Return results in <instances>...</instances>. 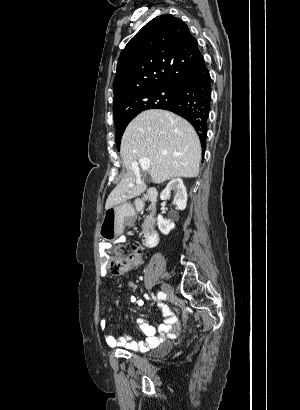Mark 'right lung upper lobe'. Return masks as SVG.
Segmentation results:
<instances>
[{
	"mask_svg": "<svg viewBox=\"0 0 300 410\" xmlns=\"http://www.w3.org/2000/svg\"><path fill=\"white\" fill-rule=\"evenodd\" d=\"M197 40L180 19L161 15L147 23L121 53L113 83L114 119L134 114L136 97L161 88H179L203 61Z\"/></svg>",
	"mask_w": 300,
	"mask_h": 410,
	"instance_id": "right-lung-upper-lobe-1",
	"label": "right lung upper lobe"
}]
</instances>
